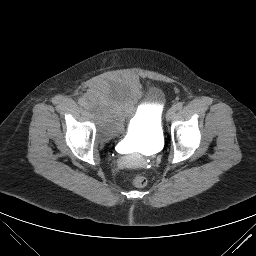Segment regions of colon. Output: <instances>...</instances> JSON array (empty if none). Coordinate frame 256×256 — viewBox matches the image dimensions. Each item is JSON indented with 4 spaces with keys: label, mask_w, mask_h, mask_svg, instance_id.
Here are the masks:
<instances>
[{
    "label": "colon",
    "mask_w": 256,
    "mask_h": 256,
    "mask_svg": "<svg viewBox=\"0 0 256 256\" xmlns=\"http://www.w3.org/2000/svg\"><path fill=\"white\" fill-rule=\"evenodd\" d=\"M132 184H133V186H135L137 188H142L147 185V179L145 176L137 175L134 177Z\"/></svg>",
    "instance_id": "obj_1"
}]
</instances>
